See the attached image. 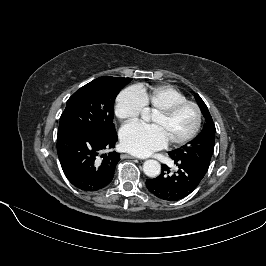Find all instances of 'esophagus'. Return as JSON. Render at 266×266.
I'll use <instances>...</instances> for the list:
<instances>
[{
	"label": "esophagus",
	"instance_id": "34e87169",
	"mask_svg": "<svg viewBox=\"0 0 266 266\" xmlns=\"http://www.w3.org/2000/svg\"><path fill=\"white\" fill-rule=\"evenodd\" d=\"M124 158H129V159H135V156L129 155V154H124L123 155Z\"/></svg>",
	"mask_w": 266,
	"mask_h": 266
}]
</instances>
